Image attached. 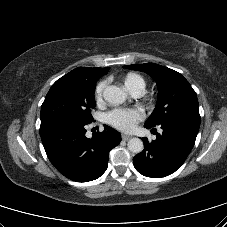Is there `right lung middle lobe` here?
I'll return each mask as SVG.
<instances>
[{
	"instance_id": "1",
	"label": "right lung middle lobe",
	"mask_w": 227,
	"mask_h": 227,
	"mask_svg": "<svg viewBox=\"0 0 227 227\" xmlns=\"http://www.w3.org/2000/svg\"><path fill=\"white\" fill-rule=\"evenodd\" d=\"M99 76L66 74L50 88L41 107V122L67 119L89 124L95 107V87Z\"/></svg>"
}]
</instances>
